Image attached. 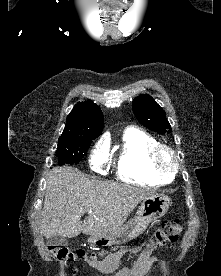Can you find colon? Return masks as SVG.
Here are the masks:
<instances>
[{"mask_svg":"<svg viewBox=\"0 0 221 276\" xmlns=\"http://www.w3.org/2000/svg\"><path fill=\"white\" fill-rule=\"evenodd\" d=\"M182 232V226L178 219L163 221L154 231L146 248L155 249L168 246L176 242ZM50 255L62 262H92L98 259L94 253H87L85 250H70L66 247L48 246Z\"/></svg>","mask_w":221,"mask_h":276,"instance_id":"5ec220e1","label":"colon"}]
</instances>
